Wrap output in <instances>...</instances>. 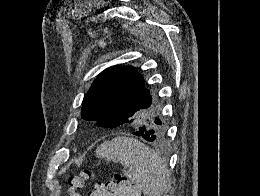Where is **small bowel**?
<instances>
[{
  "label": "small bowel",
  "instance_id": "c3829d8e",
  "mask_svg": "<svg viewBox=\"0 0 260 196\" xmlns=\"http://www.w3.org/2000/svg\"><path fill=\"white\" fill-rule=\"evenodd\" d=\"M103 185V183L96 184L95 187L90 192H88V196H108L107 192L101 191V186Z\"/></svg>",
  "mask_w": 260,
  "mask_h": 196
}]
</instances>
